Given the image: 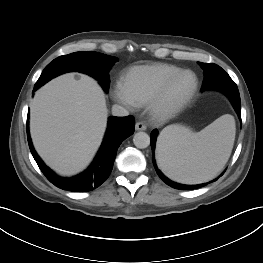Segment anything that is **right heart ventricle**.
Returning <instances> with one entry per match:
<instances>
[{"mask_svg":"<svg viewBox=\"0 0 263 263\" xmlns=\"http://www.w3.org/2000/svg\"><path fill=\"white\" fill-rule=\"evenodd\" d=\"M180 70V67L166 63L135 66L124 75L123 85L134 105L142 106L149 102L165 80Z\"/></svg>","mask_w":263,"mask_h":263,"instance_id":"right-heart-ventricle-1","label":"right heart ventricle"}]
</instances>
